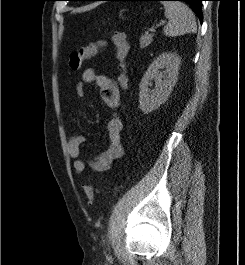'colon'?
Wrapping results in <instances>:
<instances>
[{
  "label": "colon",
  "mask_w": 245,
  "mask_h": 265,
  "mask_svg": "<svg viewBox=\"0 0 245 265\" xmlns=\"http://www.w3.org/2000/svg\"><path fill=\"white\" fill-rule=\"evenodd\" d=\"M110 41L113 43L116 49V59L119 63L121 74L118 77V85L120 88L125 89L128 85L127 77V60L129 54V43L124 32L116 31L111 37ZM108 44V40L105 38L99 39L89 45L77 49L69 54L68 64L71 70L78 71L82 64L101 52ZM85 195L91 204L96 196V189L92 185H86L84 187Z\"/></svg>",
  "instance_id": "colon-1"
}]
</instances>
